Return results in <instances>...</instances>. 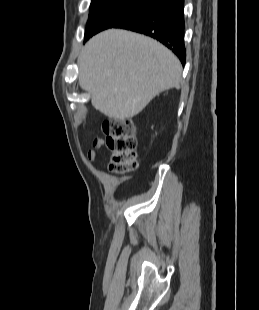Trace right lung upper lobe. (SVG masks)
<instances>
[{
  "instance_id": "cb5924a9",
  "label": "right lung upper lobe",
  "mask_w": 259,
  "mask_h": 310,
  "mask_svg": "<svg viewBox=\"0 0 259 310\" xmlns=\"http://www.w3.org/2000/svg\"><path fill=\"white\" fill-rule=\"evenodd\" d=\"M105 1H108V0H92L90 6H95V5H98V4L103 3Z\"/></svg>"
}]
</instances>
